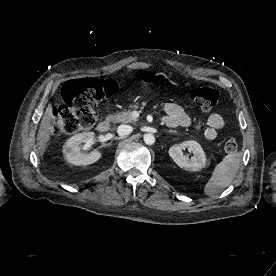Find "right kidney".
<instances>
[{"label": "right kidney", "mask_w": 276, "mask_h": 276, "mask_svg": "<svg viewBox=\"0 0 276 276\" xmlns=\"http://www.w3.org/2000/svg\"><path fill=\"white\" fill-rule=\"evenodd\" d=\"M94 139L93 132H83L76 134L69 138L64 146L63 153L64 158L71 164L74 165H89L98 161L102 154L99 151H93L91 153H83L81 149L83 147L82 143H91Z\"/></svg>", "instance_id": "right-kidney-1"}]
</instances>
